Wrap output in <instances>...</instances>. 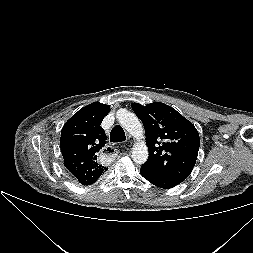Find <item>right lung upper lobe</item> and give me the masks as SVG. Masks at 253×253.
<instances>
[{
  "instance_id": "obj_1",
  "label": "right lung upper lobe",
  "mask_w": 253,
  "mask_h": 253,
  "mask_svg": "<svg viewBox=\"0 0 253 253\" xmlns=\"http://www.w3.org/2000/svg\"><path fill=\"white\" fill-rule=\"evenodd\" d=\"M109 111L108 105L94 102L74 114L61 130L64 165L82 185L95 183L107 171L97 162V155L106 143L107 137L100 125Z\"/></svg>"
}]
</instances>
